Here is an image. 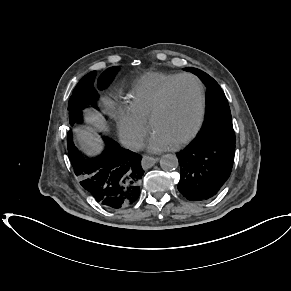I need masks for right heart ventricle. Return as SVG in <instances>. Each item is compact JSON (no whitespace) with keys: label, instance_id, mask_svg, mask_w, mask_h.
<instances>
[{"label":"right heart ventricle","instance_id":"right-heart-ventricle-1","mask_svg":"<svg viewBox=\"0 0 291 291\" xmlns=\"http://www.w3.org/2000/svg\"><path fill=\"white\" fill-rule=\"evenodd\" d=\"M175 74H147L134 84L129 94V110L138 119L147 122L159 104L165 89L178 77Z\"/></svg>","mask_w":291,"mask_h":291}]
</instances>
